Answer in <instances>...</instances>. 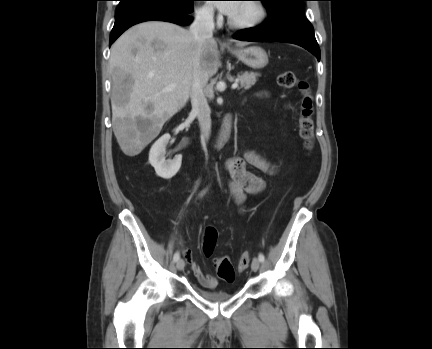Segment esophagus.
Instances as JSON below:
<instances>
[{
  "instance_id": "obj_1",
  "label": "esophagus",
  "mask_w": 432,
  "mask_h": 349,
  "mask_svg": "<svg viewBox=\"0 0 432 349\" xmlns=\"http://www.w3.org/2000/svg\"><path fill=\"white\" fill-rule=\"evenodd\" d=\"M224 45H225V46H228V45H229V43H228V42H224Z\"/></svg>"
}]
</instances>
